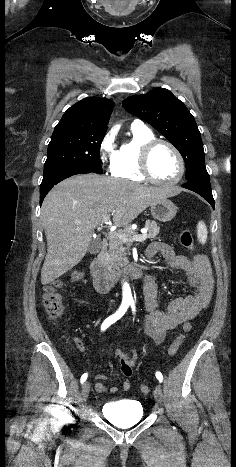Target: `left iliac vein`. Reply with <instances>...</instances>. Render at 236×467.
I'll return each instance as SVG.
<instances>
[{
    "mask_svg": "<svg viewBox=\"0 0 236 467\" xmlns=\"http://www.w3.org/2000/svg\"><path fill=\"white\" fill-rule=\"evenodd\" d=\"M154 399L157 403L162 404L164 396H163V390L160 385H156L154 389Z\"/></svg>",
    "mask_w": 236,
    "mask_h": 467,
    "instance_id": "left-iliac-vein-1",
    "label": "left iliac vein"
}]
</instances>
